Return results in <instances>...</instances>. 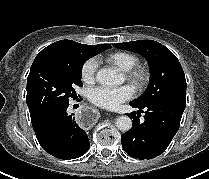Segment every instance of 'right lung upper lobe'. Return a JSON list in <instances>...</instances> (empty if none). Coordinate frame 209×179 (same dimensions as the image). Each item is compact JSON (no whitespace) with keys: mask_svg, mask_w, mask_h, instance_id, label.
<instances>
[{"mask_svg":"<svg viewBox=\"0 0 209 179\" xmlns=\"http://www.w3.org/2000/svg\"><path fill=\"white\" fill-rule=\"evenodd\" d=\"M104 45L106 44L91 46V45L80 44L72 40H61L44 48L37 55L35 60L48 59V58H65L72 56L76 53L96 50L103 47Z\"/></svg>","mask_w":209,"mask_h":179,"instance_id":"1","label":"right lung upper lobe"}]
</instances>
